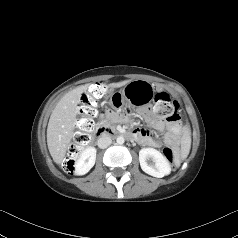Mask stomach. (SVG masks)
I'll return each instance as SVG.
<instances>
[{"label": "stomach", "instance_id": "0dacf381", "mask_svg": "<svg viewBox=\"0 0 238 238\" xmlns=\"http://www.w3.org/2000/svg\"><path fill=\"white\" fill-rule=\"evenodd\" d=\"M154 97V87L145 80H133L123 90L115 92L111 97L112 104L122 108L128 103L134 105L149 104Z\"/></svg>", "mask_w": 238, "mask_h": 238}]
</instances>
